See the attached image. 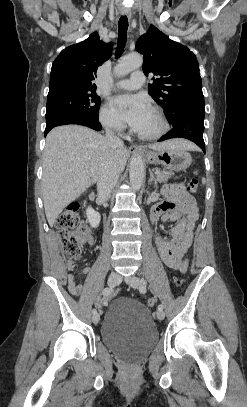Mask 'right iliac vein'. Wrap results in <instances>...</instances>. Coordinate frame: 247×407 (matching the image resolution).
<instances>
[{"mask_svg":"<svg viewBox=\"0 0 247 407\" xmlns=\"http://www.w3.org/2000/svg\"><path fill=\"white\" fill-rule=\"evenodd\" d=\"M120 280H121V278L116 272H111V274L109 275V278H108V285L110 287H114L120 283ZM99 320H100L99 314H94L92 316V321L94 324H97L99 322Z\"/></svg>","mask_w":247,"mask_h":407,"instance_id":"63e3f726","label":"right iliac vein"}]
</instances>
